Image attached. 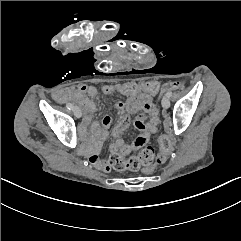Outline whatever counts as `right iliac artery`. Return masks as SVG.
Listing matches in <instances>:
<instances>
[{
    "mask_svg": "<svg viewBox=\"0 0 241 241\" xmlns=\"http://www.w3.org/2000/svg\"><path fill=\"white\" fill-rule=\"evenodd\" d=\"M66 106H67V108L70 109V110H72V109L74 108V106H73L71 103L67 104Z\"/></svg>",
    "mask_w": 241,
    "mask_h": 241,
    "instance_id": "82829eb1",
    "label": "right iliac artery"
}]
</instances>
